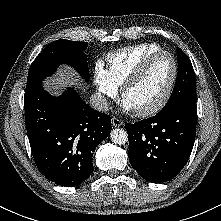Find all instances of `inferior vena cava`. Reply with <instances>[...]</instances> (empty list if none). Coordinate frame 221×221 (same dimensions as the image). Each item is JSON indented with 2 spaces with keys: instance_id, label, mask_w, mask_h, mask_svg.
Returning <instances> with one entry per match:
<instances>
[{
  "instance_id": "obj_1",
  "label": "inferior vena cava",
  "mask_w": 221,
  "mask_h": 221,
  "mask_svg": "<svg viewBox=\"0 0 221 221\" xmlns=\"http://www.w3.org/2000/svg\"><path fill=\"white\" fill-rule=\"evenodd\" d=\"M89 102L92 108L98 111L106 112L109 109V105H108V101L106 97L100 93L92 94Z\"/></svg>"
}]
</instances>
